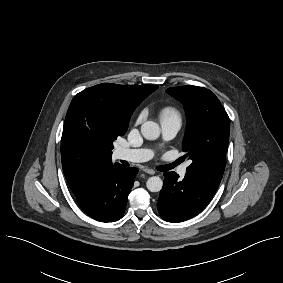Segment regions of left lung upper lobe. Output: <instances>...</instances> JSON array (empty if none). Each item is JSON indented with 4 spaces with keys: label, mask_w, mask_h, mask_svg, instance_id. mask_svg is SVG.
I'll return each mask as SVG.
<instances>
[{
    "label": "left lung upper lobe",
    "mask_w": 283,
    "mask_h": 283,
    "mask_svg": "<svg viewBox=\"0 0 283 283\" xmlns=\"http://www.w3.org/2000/svg\"><path fill=\"white\" fill-rule=\"evenodd\" d=\"M166 92L186 110L188 125L182 149L192 161L186 174L215 192L226 165L229 142V117L210 90L197 86L171 87Z\"/></svg>",
    "instance_id": "5c2ea615"
}]
</instances>
